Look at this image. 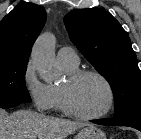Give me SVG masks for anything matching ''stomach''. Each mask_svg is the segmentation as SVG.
<instances>
[{"mask_svg":"<svg viewBox=\"0 0 141 139\" xmlns=\"http://www.w3.org/2000/svg\"><path fill=\"white\" fill-rule=\"evenodd\" d=\"M75 139H106V136L97 127L89 125L81 129Z\"/></svg>","mask_w":141,"mask_h":139,"instance_id":"obj_1","label":"stomach"}]
</instances>
